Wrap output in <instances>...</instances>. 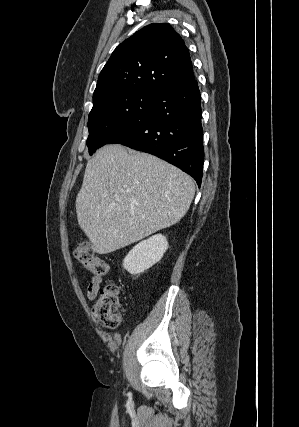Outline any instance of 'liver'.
Listing matches in <instances>:
<instances>
[{
  "mask_svg": "<svg viewBox=\"0 0 299 427\" xmlns=\"http://www.w3.org/2000/svg\"><path fill=\"white\" fill-rule=\"evenodd\" d=\"M194 194L192 178L179 168L106 145L87 162L76 197L78 224L93 252L111 253L179 222Z\"/></svg>",
  "mask_w": 299,
  "mask_h": 427,
  "instance_id": "1",
  "label": "liver"
}]
</instances>
